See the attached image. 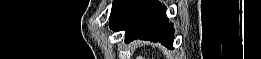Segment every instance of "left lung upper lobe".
Returning a JSON list of instances; mask_svg holds the SVG:
<instances>
[{"label": "left lung upper lobe", "mask_w": 261, "mask_h": 59, "mask_svg": "<svg viewBox=\"0 0 261 59\" xmlns=\"http://www.w3.org/2000/svg\"><path fill=\"white\" fill-rule=\"evenodd\" d=\"M120 0H115L114 3H113V7H112V10L115 8V6L119 3Z\"/></svg>", "instance_id": "1"}]
</instances>
